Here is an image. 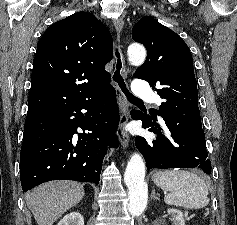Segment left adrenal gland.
Wrapping results in <instances>:
<instances>
[{
	"instance_id": "obj_1",
	"label": "left adrenal gland",
	"mask_w": 237,
	"mask_h": 225,
	"mask_svg": "<svg viewBox=\"0 0 237 225\" xmlns=\"http://www.w3.org/2000/svg\"><path fill=\"white\" fill-rule=\"evenodd\" d=\"M151 198H152V199H156V200H160V198H158V197L155 195V190L152 191Z\"/></svg>"
}]
</instances>
